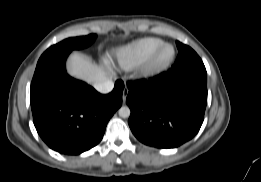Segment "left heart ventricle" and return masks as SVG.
<instances>
[{
  "mask_svg": "<svg viewBox=\"0 0 261 182\" xmlns=\"http://www.w3.org/2000/svg\"><path fill=\"white\" fill-rule=\"evenodd\" d=\"M172 54V49L171 48H165L164 51L162 52V54L160 55V58L159 60L162 62V61H165L167 60Z\"/></svg>",
  "mask_w": 261,
  "mask_h": 182,
  "instance_id": "b2bd125f",
  "label": "left heart ventricle"
}]
</instances>
